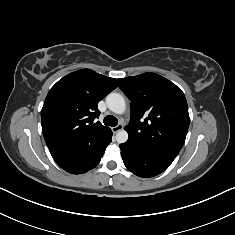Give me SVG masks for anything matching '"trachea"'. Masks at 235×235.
Listing matches in <instances>:
<instances>
[{
    "instance_id": "1",
    "label": "trachea",
    "mask_w": 235,
    "mask_h": 235,
    "mask_svg": "<svg viewBox=\"0 0 235 235\" xmlns=\"http://www.w3.org/2000/svg\"><path fill=\"white\" fill-rule=\"evenodd\" d=\"M104 124L114 127L118 124V120L114 116L108 115L104 118Z\"/></svg>"
}]
</instances>
